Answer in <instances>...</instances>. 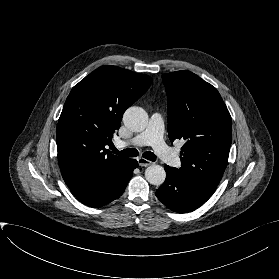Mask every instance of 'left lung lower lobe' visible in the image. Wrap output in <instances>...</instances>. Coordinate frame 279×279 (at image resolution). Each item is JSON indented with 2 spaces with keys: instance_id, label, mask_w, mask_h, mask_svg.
<instances>
[{
  "instance_id": "1",
  "label": "left lung lower lobe",
  "mask_w": 279,
  "mask_h": 279,
  "mask_svg": "<svg viewBox=\"0 0 279 279\" xmlns=\"http://www.w3.org/2000/svg\"><path fill=\"white\" fill-rule=\"evenodd\" d=\"M165 182L156 190L157 198L177 213L193 211L215 192L201 182L184 177L176 168L165 166Z\"/></svg>"
}]
</instances>
